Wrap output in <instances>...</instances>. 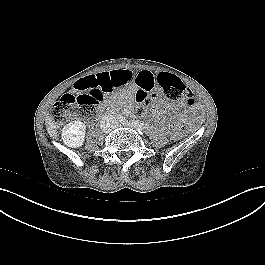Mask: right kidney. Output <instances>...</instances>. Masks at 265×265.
<instances>
[{"label": "right kidney", "instance_id": "ca27d5eb", "mask_svg": "<svg viewBox=\"0 0 265 265\" xmlns=\"http://www.w3.org/2000/svg\"><path fill=\"white\" fill-rule=\"evenodd\" d=\"M86 126L81 121H72L62 129V139L66 146L81 147L85 140Z\"/></svg>", "mask_w": 265, "mask_h": 265}]
</instances>
